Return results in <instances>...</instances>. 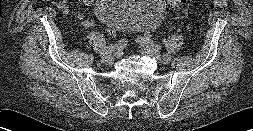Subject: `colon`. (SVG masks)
<instances>
[{
    "mask_svg": "<svg viewBox=\"0 0 253 131\" xmlns=\"http://www.w3.org/2000/svg\"><path fill=\"white\" fill-rule=\"evenodd\" d=\"M187 0H167L168 6L171 9H178L180 8L184 3H186ZM228 6L227 0H212L211 7L213 8H226ZM107 33L111 38H115L117 35V32L114 28L108 27Z\"/></svg>",
    "mask_w": 253,
    "mask_h": 131,
    "instance_id": "obj_1",
    "label": "colon"
}]
</instances>
